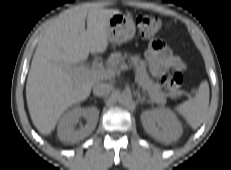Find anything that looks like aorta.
<instances>
[{
    "instance_id": "762f6f07",
    "label": "aorta",
    "mask_w": 231,
    "mask_h": 170,
    "mask_svg": "<svg viewBox=\"0 0 231 170\" xmlns=\"http://www.w3.org/2000/svg\"><path fill=\"white\" fill-rule=\"evenodd\" d=\"M118 101L123 105H129L132 102V96L130 93H121L118 95Z\"/></svg>"
}]
</instances>
